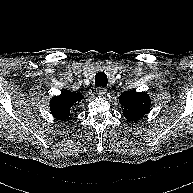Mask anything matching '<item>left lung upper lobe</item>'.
I'll use <instances>...</instances> for the list:
<instances>
[{"label": "left lung upper lobe", "instance_id": "1", "mask_svg": "<svg viewBox=\"0 0 193 193\" xmlns=\"http://www.w3.org/2000/svg\"><path fill=\"white\" fill-rule=\"evenodd\" d=\"M119 102L124 108L123 115L129 121H136L150 112L151 99L145 92L130 90L119 96Z\"/></svg>", "mask_w": 193, "mask_h": 193}]
</instances>
